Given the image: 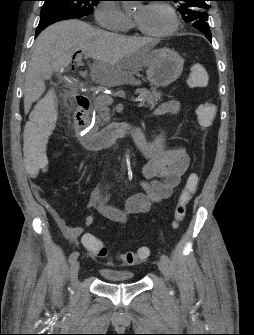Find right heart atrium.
<instances>
[{
	"label": "right heart atrium",
	"instance_id": "d8ad5b80",
	"mask_svg": "<svg viewBox=\"0 0 254 335\" xmlns=\"http://www.w3.org/2000/svg\"><path fill=\"white\" fill-rule=\"evenodd\" d=\"M95 20L99 26L113 31L127 32L133 26L130 17L112 1L101 3L96 8Z\"/></svg>",
	"mask_w": 254,
	"mask_h": 335
}]
</instances>
